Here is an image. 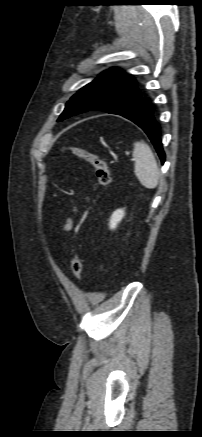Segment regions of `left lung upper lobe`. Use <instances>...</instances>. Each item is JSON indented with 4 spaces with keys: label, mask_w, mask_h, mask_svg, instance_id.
<instances>
[{
    "label": "left lung upper lobe",
    "mask_w": 202,
    "mask_h": 437,
    "mask_svg": "<svg viewBox=\"0 0 202 437\" xmlns=\"http://www.w3.org/2000/svg\"><path fill=\"white\" fill-rule=\"evenodd\" d=\"M139 96L135 79L111 68L74 94L57 121L89 110L107 112Z\"/></svg>",
    "instance_id": "obj_1"
}]
</instances>
